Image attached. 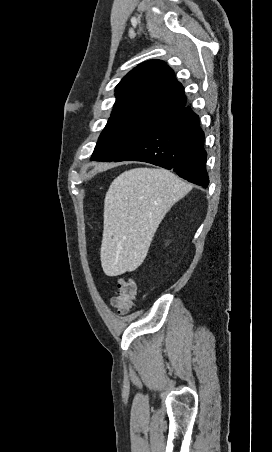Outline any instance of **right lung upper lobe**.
Wrapping results in <instances>:
<instances>
[{
  "mask_svg": "<svg viewBox=\"0 0 272 452\" xmlns=\"http://www.w3.org/2000/svg\"><path fill=\"white\" fill-rule=\"evenodd\" d=\"M112 116L130 112L159 115L186 106L183 86L161 60L146 61L130 71L116 86Z\"/></svg>",
  "mask_w": 272,
  "mask_h": 452,
  "instance_id": "1",
  "label": "right lung upper lobe"
}]
</instances>
